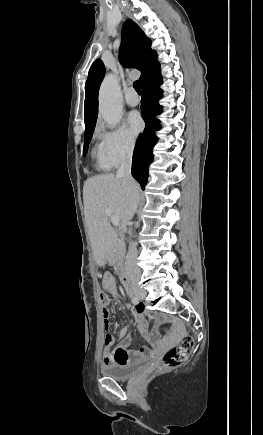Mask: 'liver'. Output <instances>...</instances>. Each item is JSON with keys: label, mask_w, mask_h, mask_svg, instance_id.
Returning a JSON list of instances; mask_svg holds the SVG:
<instances>
[{"label": "liver", "mask_w": 263, "mask_h": 435, "mask_svg": "<svg viewBox=\"0 0 263 435\" xmlns=\"http://www.w3.org/2000/svg\"><path fill=\"white\" fill-rule=\"evenodd\" d=\"M83 202L86 225L94 258L98 265L109 258L117 241L105 210L109 209L124 223L126 216V191L122 177L101 174L88 178L83 186Z\"/></svg>", "instance_id": "6515ba94"}]
</instances>
